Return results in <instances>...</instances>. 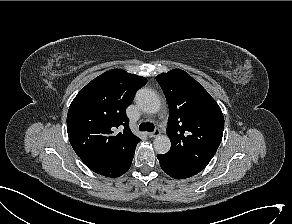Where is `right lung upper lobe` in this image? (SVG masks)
Returning a JSON list of instances; mask_svg holds the SVG:
<instances>
[{"mask_svg":"<svg viewBox=\"0 0 292 224\" xmlns=\"http://www.w3.org/2000/svg\"><path fill=\"white\" fill-rule=\"evenodd\" d=\"M146 83L142 76L113 69L77 94L69 107L67 132L78 156L125 155L136 148L141 140L130 131L125 109Z\"/></svg>","mask_w":292,"mask_h":224,"instance_id":"right-lung-upper-lobe-1","label":"right lung upper lobe"}]
</instances>
